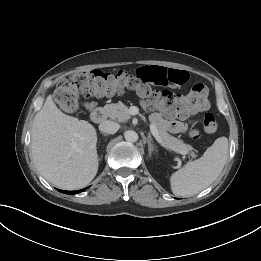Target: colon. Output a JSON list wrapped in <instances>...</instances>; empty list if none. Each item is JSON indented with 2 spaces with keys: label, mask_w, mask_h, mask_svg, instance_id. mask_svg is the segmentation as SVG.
<instances>
[{
  "label": "colon",
  "mask_w": 261,
  "mask_h": 261,
  "mask_svg": "<svg viewBox=\"0 0 261 261\" xmlns=\"http://www.w3.org/2000/svg\"><path fill=\"white\" fill-rule=\"evenodd\" d=\"M126 90L137 92L156 105L167 117H181L208 108V88L203 83L194 84L186 94L170 90L156 91L151 89L140 75L134 76L126 71L115 73L101 70L81 71L59 81L55 91L57 105L66 113L78 109L79 95L84 97H105L122 93ZM204 129L214 133L218 129L215 116L207 113L203 118ZM198 138L196 130L191 132Z\"/></svg>",
  "instance_id": "5ec220e1"
}]
</instances>
